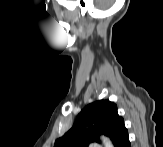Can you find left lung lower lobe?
<instances>
[{"instance_id":"obj_1","label":"left lung lower lobe","mask_w":163,"mask_h":147,"mask_svg":"<svg viewBox=\"0 0 163 147\" xmlns=\"http://www.w3.org/2000/svg\"><path fill=\"white\" fill-rule=\"evenodd\" d=\"M114 145L115 147H131L128 137V131L126 128H124Z\"/></svg>"}]
</instances>
